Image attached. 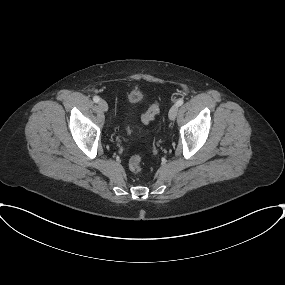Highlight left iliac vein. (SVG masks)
Masks as SVG:
<instances>
[{
    "mask_svg": "<svg viewBox=\"0 0 285 285\" xmlns=\"http://www.w3.org/2000/svg\"><path fill=\"white\" fill-rule=\"evenodd\" d=\"M178 106L173 105L169 110V119L174 120L177 116Z\"/></svg>",
    "mask_w": 285,
    "mask_h": 285,
    "instance_id": "left-iliac-vein-1",
    "label": "left iliac vein"
}]
</instances>
